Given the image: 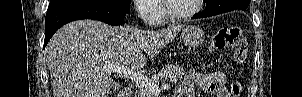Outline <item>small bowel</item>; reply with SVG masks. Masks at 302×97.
<instances>
[{"label":"small bowel","mask_w":302,"mask_h":97,"mask_svg":"<svg viewBox=\"0 0 302 97\" xmlns=\"http://www.w3.org/2000/svg\"><path fill=\"white\" fill-rule=\"evenodd\" d=\"M196 88L214 97H231L227 88V77L222 72L190 71L178 86L174 97H195Z\"/></svg>","instance_id":"obj_1"}]
</instances>
